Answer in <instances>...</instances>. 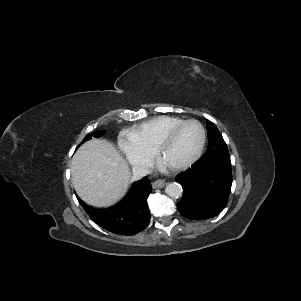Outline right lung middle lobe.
Segmentation results:
<instances>
[{
	"label": "right lung middle lobe",
	"mask_w": 301,
	"mask_h": 301,
	"mask_svg": "<svg viewBox=\"0 0 301 301\" xmlns=\"http://www.w3.org/2000/svg\"><path fill=\"white\" fill-rule=\"evenodd\" d=\"M103 134H104V131H99V132L93 133L92 136L97 138V137L102 136ZM90 139H91V135L89 134L88 136L85 137V139L82 141V143H84L85 141L90 140Z\"/></svg>",
	"instance_id": "obj_1"
}]
</instances>
